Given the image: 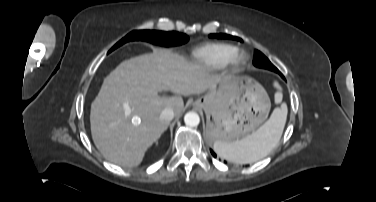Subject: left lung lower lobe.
<instances>
[{
	"instance_id": "obj_1",
	"label": "left lung lower lobe",
	"mask_w": 376,
	"mask_h": 202,
	"mask_svg": "<svg viewBox=\"0 0 376 202\" xmlns=\"http://www.w3.org/2000/svg\"><path fill=\"white\" fill-rule=\"evenodd\" d=\"M283 77V75H281ZM284 78V77H283ZM211 153L214 157H216V154L211 150Z\"/></svg>"
}]
</instances>
